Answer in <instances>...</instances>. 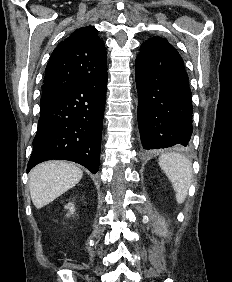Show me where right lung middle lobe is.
Returning <instances> with one entry per match:
<instances>
[{
  "label": "right lung middle lobe",
  "mask_w": 232,
  "mask_h": 282,
  "mask_svg": "<svg viewBox=\"0 0 232 282\" xmlns=\"http://www.w3.org/2000/svg\"><path fill=\"white\" fill-rule=\"evenodd\" d=\"M55 100L52 99H42L40 102V112H45L53 103Z\"/></svg>",
  "instance_id": "dd1d6c3e"
}]
</instances>
